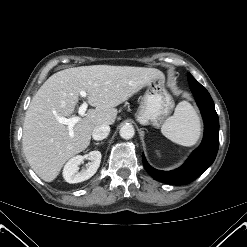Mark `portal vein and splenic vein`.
Listing matches in <instances>:
<instances>
[{
    "label": "portal vein and splenic vein",
    "instance_id": "portal-vein-and-splenic-vein-1",
    "mask_svg": "<svg viewBox=\"0 0 247 247\" xmlns=\"http://www.w3.org/2000/svg\"><path fill=\"white\" fill-rule=\"evenodd\" d=\"M80 95L81 97L85 98L87 96V93L82 90L80 91ZM87 108H88V104L86 101H84L79 107V110H78L79 115L84 116ZM79 120H80V117L78 116L71 117V118L57 116V121L59 123L67 125L70 136H73V127L75 126V124L79 122Z\"/></svg>",
    "mask_w": 247,
    "mask_h": 247
}]
</instances>
